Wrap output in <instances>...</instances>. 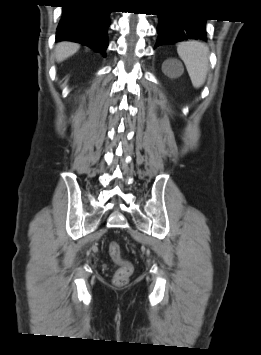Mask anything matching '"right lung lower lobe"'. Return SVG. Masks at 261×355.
Masks as SVG:
<instances>
[{
	"label": "right lung lower lobe",
	"instance_id": "98d812e1",
	"mask_svg": "<svg viewBox=\"0 0 261 355\" xmlns=\"http://www.w3.org/2000/svg\"><path fill=\"white\" fill-rule=\"evenodd\" d=\"M101 0H70L62 2V18L57 28V41H72L106 55L107 28L111 11L102 7Z\"/></svg>",
	"mask_w": 261,
	"mask_h": 355
}]
</instances>
